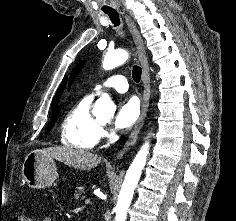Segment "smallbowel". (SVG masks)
<instances>
[{
	"label": "small bowel",
	"mask_w": 236,
	"mask_h": 221,
	"mask_svg": "<svg viewBox=\"0 0 236 221\" xmlns=\"http://www.w3.org/2000/svg\"><path fill=\"white\" fill-rule=\"evenodd\" d=\"M42 221H52V217L50 215H47L43 218Z\"/></svg>",
	"instance_id": "small-bowel-1"
}]
</instances>
